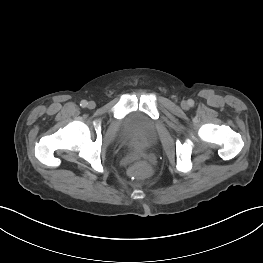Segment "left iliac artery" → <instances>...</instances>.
<instances>
[{
	"label": "left iliac artery",
	"instance_id": "left-iliac-artery-1",
	"mask_svg": "<svg viewBox=\"0 0 263 263\" xmlns=\"http://www.w3.org/2000/svg\"><path fill=\"white\" fill-rule=\"evenodd\" d=\"M188 104H189V106H193L194 105V101L193 100H189Z\"/></svg>",
	"mask_w": 263,
	"mask_h": 263
}]
</instances>
